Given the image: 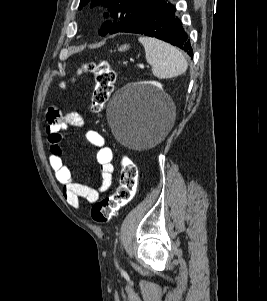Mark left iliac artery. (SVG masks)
Here are the masks:
<instances>
[{
	"instance_id": "obj_1",
	"label": "left iliac artery",
	"mask_w": 267,
	"mask_h": 301,
	"mask_svg": "<svg viewBox=\"0 0 267 301\" xmlns=\"http://www.w3.org/2000/svg\"><path fill=\"white\" fill-rule=\"evenodd\" d=\"M115 264H116V266L118 267V264H117V262H115Z\"/></svg>"
}]
</instances>
